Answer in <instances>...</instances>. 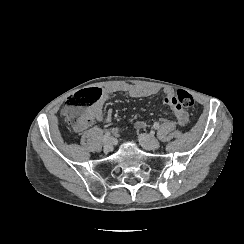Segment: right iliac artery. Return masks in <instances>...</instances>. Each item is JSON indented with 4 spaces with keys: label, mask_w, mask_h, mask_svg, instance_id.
Returning <instances> with one entry per match:
<instances>
[{
    "label": "right iliac artery",
    "mask_w": 244,
    "mask_h": 244,
    "mask_svg": "<svg viewBox=\"0 0 244 244\" xmlns=\"http://www.w3.org/2000/svg\"><path fill=\"white\" fill-rule=\"evenodd\" d=\"M111 136V131H107L103 136V142H106Z\"/></svg>",
    "instance_id": "right-iliac-artery-1"
}]
</instances>
